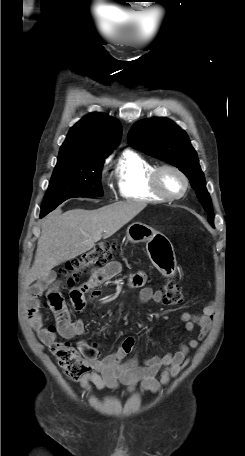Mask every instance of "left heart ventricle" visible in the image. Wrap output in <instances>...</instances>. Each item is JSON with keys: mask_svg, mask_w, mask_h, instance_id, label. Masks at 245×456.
<instances>
[{"mask_svg": "<svg viewBox=\"0 0 245 456\" xmlns=\"http://www.w3.org/2000/svg\"><path fill=\"white\" fill-rule=\"evenodd\" d=\"M159 182L162 189L171 195L180 194L184 187L181 177L171 170L162 171Z\"/></svg>", "mask_w": 245, "mask_h": 456, "instance_id": "1", "label": "left heart ventricle"}]
</instances>
